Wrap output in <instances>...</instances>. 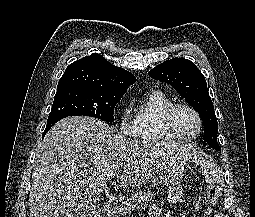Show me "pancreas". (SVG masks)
<instances>
[{
    "instance_id": "pancreas-1",
    "label": "pancreas",
    "mask_w": 255,
    "mask_h": 217,
    "mask_svg": "<svg viewBox=\"0 0 255 217\" xmlns=\"http://www.w3.org/2000/svg\"><path fill=\"white\" fill-rule=\"evenodd\" d=\"M154 194L150 191H138L134 192L130 197L123 200L118 206H115L112 211V217H122L131 213L132 210L139 208L140 206H148L153 201Z\"/></svg>"
}]
</instances>
